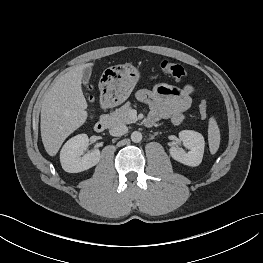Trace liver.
Here are the masks:
<instances>
[{
	"mask_svg": "<svg viewBox=\"0 0 263 263\" xmlns=\"http://www.w3.org/2000/svg\"><path fill=\"white\" fill-rule=\"evenodd\" d=\"M93 63L70 68L55 79L41 106V138L46 152L55 156L65 139L87 120V102L81 89L83 70Z\"/></svg>",
	"mask_w": 263,
	"mask_h": 263,
	"instance_id": "1",
	"label": "liver"
}]
</instances>
